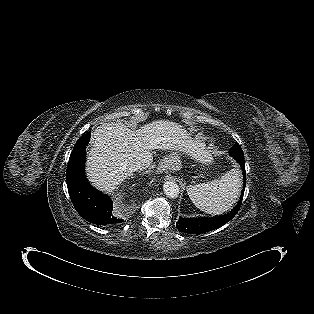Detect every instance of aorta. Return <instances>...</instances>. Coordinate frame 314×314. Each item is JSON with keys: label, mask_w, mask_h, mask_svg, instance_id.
<instances>
[{"label": "aorta", "mask_w": 314, "mask_h": 314, "mask_svg": "<svg viewBox=\"0 0 314 314\" xmlns=\"http://www.w3.org/2000/svg\"><path fill=\"white\" fill-rule=\"evenodd\" d=\"M163 190L166 196L169 198H177L179 195V186L175 181H165L163 184Z\"/></svg>", "instance_id": "1"}]
</instances>
